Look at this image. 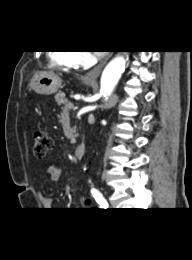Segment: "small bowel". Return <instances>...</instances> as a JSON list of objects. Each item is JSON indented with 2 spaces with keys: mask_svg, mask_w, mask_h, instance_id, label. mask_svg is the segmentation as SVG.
<instances>
[{
  "mask_svg": "<svg viewBox=\"0 0 192 260\" xmlns=\"http://www.w3.org/2000/svg\"><path fill=\"white\" fill-rule=\"evenodd\" d=\"M46 176L54 183H58L61 178V172L58 165L51 163L46 168ZM40 201L45 209H51L54 207L55 200L51 197L40 195Z\"/></svg>",
  "mask_w": 192,
  "mask_h": 260,
  "instance_id": "obj_1",
  "label": "small bowel"
}]
</instances>
